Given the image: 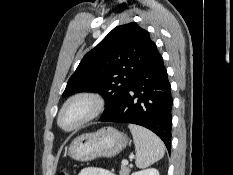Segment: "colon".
I'll use <instances>...</instances> for the list:
<instances>
[{
  "label": "colon",
  "instance_id": "5ec220e1",
  "mask_svg": "<svg viewBox=\"0 0 233 175\" xmlns=\"http://www.w3.org/2000/svg\"><path fill=\"white\" fill-rule=\"evenodd\" d=\"M59 175H69L68 171H62Z\"/></svg>",
  "mask_w": 233,
  "mask_h": 175
}]
</instances>
